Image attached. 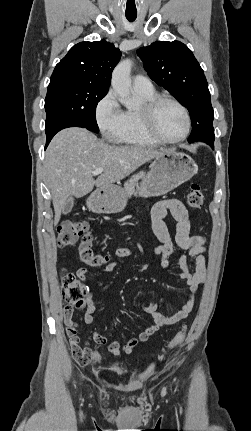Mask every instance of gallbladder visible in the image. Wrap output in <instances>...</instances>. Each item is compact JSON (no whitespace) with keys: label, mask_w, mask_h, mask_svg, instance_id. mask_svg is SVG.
Segmentation results:
<instances>
[{"label":"gallbladder","mask_w":251,"mask_h":431,"mask_svg":"<svg viewBox=\"0 0 251 431\" xmlns=\"http://www.w3.org/2000/svg\"><path fill=\"white\" fill-rule=\"evenodd\" d=\"M73 206H74V199L71 197L65 202L64 206L62 207V213L63 214L70 213Z\"/></svg>","instance_id":"obj_1"}]
</instances>
